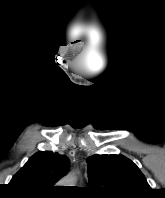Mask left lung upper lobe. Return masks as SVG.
<instances>
[{"instance_id":"1","label":"left lung upper lobe","mask_w":165,"mask_h":198,"mask_svg":"<svg viewBox=\"0 0 165 198\" xmlns=\"http://www.w3.org/2000/svg\"><path fill=\"white\" fill-rule=\"evenodd\" d=\"M89 189L99 198H143L151 190L144 175L123 155H93L86 160Z\"/></svg>"}]
</instances>
